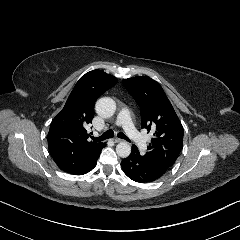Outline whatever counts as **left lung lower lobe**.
Returning <instances> with one entry per match:
<instances>
[{"label": "left lung lower lobe", "instance_id": "left-lung-lower-lobe-1", "mask_svg": "<svg viewBox=\"0 0 240 240\" xmlns=\"http://www.w3.org/2000/svg\"><path fill=\"white\" fill-rule=\"evenodd\" d=\"M121 167L130 179L140 183L153 182L168 170L153 164L135 149H132L130 156L121 162Z\"/></svg>", "mask_w": 240, "mask_h": 240}]
</instances>
